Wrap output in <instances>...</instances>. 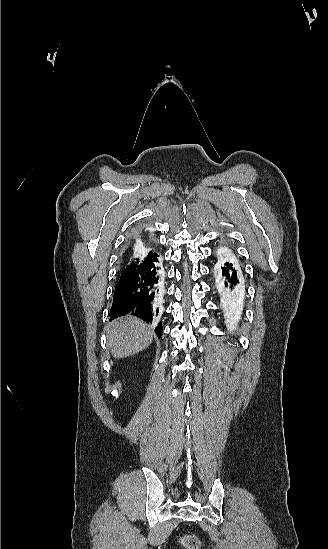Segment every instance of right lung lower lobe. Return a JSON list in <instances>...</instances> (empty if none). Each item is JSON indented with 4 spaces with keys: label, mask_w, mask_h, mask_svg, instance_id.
Returning a JSON list of instances; mask_svg holds the SVG:
<instances>
[{
    "label": "right lung lower lobe",
    "mask_w": 328,
    "mask_h": 549,
    "mask_svg": "<svg viewBox=\"0 0 328 549\" xmlns=\"http://www.w3.org/2000/svg\"><path fill=\"white\" fill-rule=\"evenodd\" d=\"M135 236L133 234L128 241L122 262L130 251ZM162 282V266L158 254L153 258L142 261L137 268L129 273L121 274L114 291L113 304L110 310L111 319L126 314L137 316L147 323L153 324L155 333L160 338L163 327L158 318L159 308L156 306V298L162 288Z\"/></svg>",
    "instance_id": "obj_1"
}]
</instances>
